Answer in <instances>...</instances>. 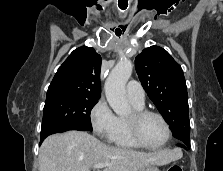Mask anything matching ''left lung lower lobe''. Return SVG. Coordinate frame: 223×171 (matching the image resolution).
<instances>
[{"instance_id": "obj_1", "label": "left lung lower lobe", "mask_w": 223, "mask_h": 171, "mask_svg": "<svg viewBox=\"0 0 223 171\" xmlns=\"http://www.w3.org/2000/svg\"><path fill=\"white\" fill-rule=\"evenodd\" d=\"M178 145L181 146V147H184L187 150L190 149V143L186 144V143H183V142H178Z\"/></svg>"}]
</instances>
